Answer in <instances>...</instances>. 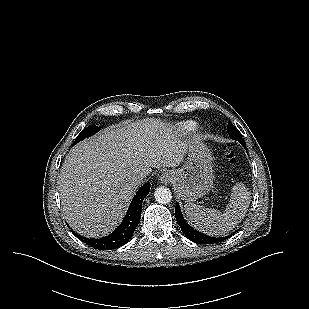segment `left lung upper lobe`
Listing matches in <instances>:
<instances>
[{
	"mask_svg": "<svg viewBox=\"0 0 309 309\" xmlns=\"http://www.w3.org/2000/svg\"><path fill=\"white\" fill-rule=\"evenodd\" d=\"M227 132L229 133L231 139L238 141L243 140L238 129L230 121L227 126Z\"/></svg>",
	"mask_w": 309,
	"mask_h": 309,
	"instance_id": "obj_1",
	"label": "left lung upper lobe"
}]
</instances>
